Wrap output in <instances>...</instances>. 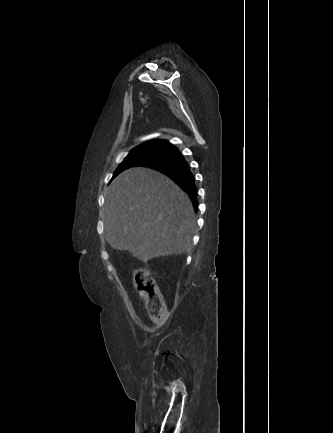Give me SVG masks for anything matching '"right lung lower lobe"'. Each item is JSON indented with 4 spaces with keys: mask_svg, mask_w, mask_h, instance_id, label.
I'll list each match as a JSON object with an SVG mask.
<instances>
[{
    "mask_svg": "<svg viewBox=\"0 0 333 433\" xmlns=\"http://www.w3.org/2000/svg\"><path fill=\"white\" fill-rule=\"evenodd\" d=\"M164 145L172 147L173 150L168 155L161 157L157 160L151 161L149 163L143 164L141 166H146L154 168L164 173L170 177L175 183H177L185 192H187L192 200L195 210L198 208L197 201V188L195 185V179L190 171V168L180 154L179 150L167 141L162 142Z\"/></svg>",
    "mask_w": 333,
    "mask_h": 433,
    "instance_id": "obj_1",
    "label": "right lung lower lobe"
}]
</instances>
